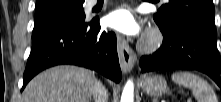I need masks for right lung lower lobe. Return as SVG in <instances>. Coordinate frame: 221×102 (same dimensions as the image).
<instances>
[{"label":"right lung lower lobe","instance_id":"right-lung-lower-lobe-1","mask_svg":"<svg viewBox=\"0 0 221 102\" xmlns=\"http://www.w3.org/2000/svg\"><path fill=\"white\" fill-rule=\"evenodd\" d=\"M59 64L87 67L115 82L121 79L116 36L100 29L99 18L65 23L33 40L22 90L36 74Z\"/></svg>","mask_w":221,"mask_h":102}]
</instances>
